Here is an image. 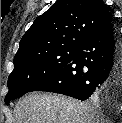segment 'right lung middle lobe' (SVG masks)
Wrapping results in <instances>:
<instances>
[{"mask_svg":"<svg viewBox=\"0 0 122 123\" xmlns=\"http://www.w3.org/2000/svg\"><path fill=\"white\" fill-rule=\"evenodd\" d=\"M76 49H62L33 55L14 62V70L9 76V92L6 105L51 77L67 65L75 56Z\"/></svg>","mask_w":122,"mask_h":123,"instance_id":"obj_1","label":"right lung middle lobe"}]
</instances>
